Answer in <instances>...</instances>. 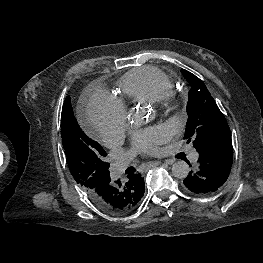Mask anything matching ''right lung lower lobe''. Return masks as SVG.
<instances>
[{
  "instance_id": "98d812e1",
  "label": "right lung lower lobe",
  "mask_w": 263,
  "mask_h": 263,
  "mask_svg": "<svg viewBox=\"0 0 263 263\" xmlns=\"http://www.w3.org/2000/svg\"><path fill=\"white\" fill-rule=\"evenodd\" d=\"M144 184L143 178L139 174L128 175L126 183L111 182V178L105 184L94 188L87 195L92 203L107 212L114 213L119 207L126 203L131 184ZM145 186V185H144Z\"/></svg>"
}]
</instances>
